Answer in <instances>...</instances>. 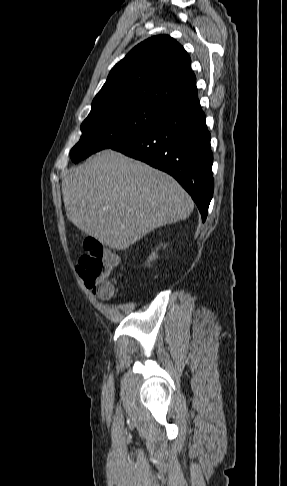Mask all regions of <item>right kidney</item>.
Segmentation results:
<instances>
[{"mask_svg": "<svg viewBox=\"0 0 287 486\" xmlns=\"http://www.w3.org/2000/svg\"><path fill=\"white\" fill-rule=\"evenodd\" d=\"M157 250H158V248H157ZM155 257H156L155 252H152V254L150 255L149 259L150 260H153V259H155Z\"/></svg>", "mask_w": 287, "mask_h": 486, "instance_id": "ca27d5eb", "label": "right kidney"}]
</instances>
